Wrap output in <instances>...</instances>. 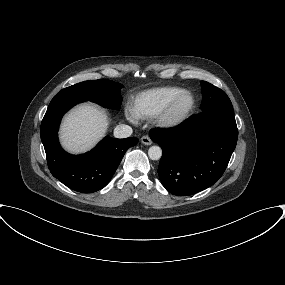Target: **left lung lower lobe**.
<instances>
[{"mask_svg":"<svg viewBox=\"0 0 285 285\" xmlns=\"http://www.w3.org/2000/svg\"><path fill=\"white\" fill-rule=\"evenodd\" d=\"M151 139L163 151L158 174L178 196L205 190L224 173L235 149L238 129L234 111L212 108L171 129H153Z\"/></svg>","mask_w":285,"mask_h":285,"instance_id":"1","label":"left lung lower lobe"}]
</instances>
